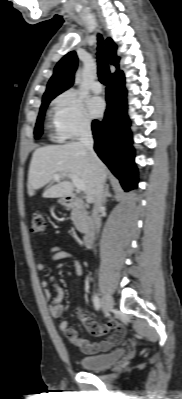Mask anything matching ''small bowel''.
Segmentation results:
<instances>
[{"mask_svg": "<svg viewBox=\"0 0 182 399\" xmlns=\"http://www.w3.org/2000/svg\"><path fill=\"white\" fill-rule=\"evenodd\" d=\"M61 260H69L75 267V272L78 277L83 275V267L79 257L71 252L64 250L62 247L55 246L50 249V261L56 262ZM39 271H44L45 263L38 262L36 265ZM41 286L45 291V298L49 302V313L52 318L59 319L64 314V306L61 304L64 298V291L55 282V277L51 275L47 280L41 282ZM52 290L56 292V297L52 299ZM78 317L85 325L87 331L96 337H101L109 334V337L103 341L91 342L80 337L77 331L69 327L68 321L63 319L59 324V330L64 335L66 340L71 344L77 346L85 354H96L107 351L113 346L117 345L124 333V326L117 319H110L106 325H101L95 320L76 310Z\"/></svg>", "mask_w": 182, "mask_h": 399, "instance_id": "1", "label": "small bowel"}]
</instances>
